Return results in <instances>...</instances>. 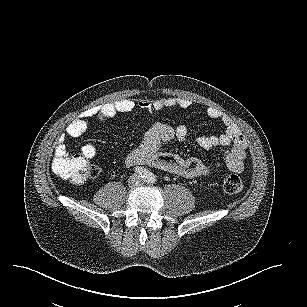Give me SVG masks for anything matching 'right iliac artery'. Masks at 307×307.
<instances>
[{
	"mask_svg": "<svg viewBox=\"0 0 307 307\" xmlns=\"http://www.w3.org/2000/svg\"><path fill=\"white\" fill-rule=\"evenodd\" d=\"M134 170L142 178H146L148 176V171L145 168H143V167H135Z\"/></svg>",
	"mask_w": 307,
	"mask_h": 307,
	"instance_id": "right-iliac-artery-1",
	"label": "right iliac artery"
}]
</instances>
